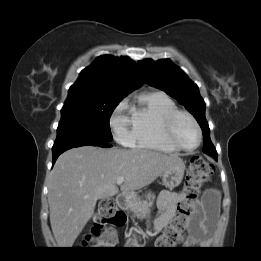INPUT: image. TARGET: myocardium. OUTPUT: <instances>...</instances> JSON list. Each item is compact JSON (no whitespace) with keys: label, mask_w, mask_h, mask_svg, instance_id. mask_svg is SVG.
<instances>
[{"label":"myocardium","mask_w":261,"mask_h":261,"mask_svg":"<svg viewBox=\"0 0 261 261\" xmlns=\"http://www.w3.org/2000/svg\"><path fill=\"white\" fill-rule=\"evenodd\" d=\"M181 117L188 118L193 123V125L195 126L197 133H198V142L195 146H193L191 148H187V147L183 146L178 141L177 136H176V125ZM164 132H165V136H166L168 142L172 146H174L178 150L185 151V152H192V151L196 150L200 146L202 139H203L202 129H201L198 121L191 113L184 111V110H176L165 119Z\"/></svg>","instance_id":"myocardium-1"}]
</instances>
